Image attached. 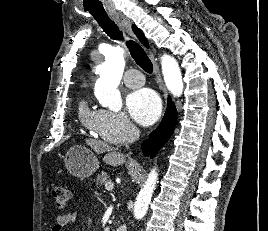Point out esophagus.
<instances>
[{
	"label": "esophagus",
	"mask_w": 268,
	"mask_h": 231,
	"mask_svg": "<svg viewBox=\"0 0 268 231\" xmlns=\"http://www.w3.org/2000/svg\"><path fill=\"white\" fill-rule=\"evenodd\" d=\"M112 19L122 29H124L125 31H127L129 33L131 32L132 22H131V20L129 18H127L124 15L115 14V15L112 16ZM148 53H149L150 60H151V62L153 64L154 74H155V77H156V83L158 84L159 89L162 91L163 96L166 99L167 98V92H166V88H165V85L163 83V80H162V77H161V74H160L158 64H157L156 59L154 58V55L152 54V52L148 51Z\"/></svg>",
	"instance_id": "34e87169"
}]
</instances>
